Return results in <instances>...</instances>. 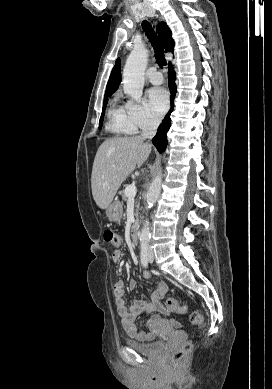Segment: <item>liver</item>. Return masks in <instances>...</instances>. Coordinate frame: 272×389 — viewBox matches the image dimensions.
I'll return each mask as SVG.
<instances>
[{
	"label": "liver",
	"instance_id": "1",
	"mask_svg": "<svg viewBox=\"0 0 272 389\" xmlns=\"http://www.w3.org/2000/svg\"><path fill=\"white\" fill-rule=\"evenodd\" d=\"M151 149L141 136L111 138L100 145L91 175L92 195L99 208L107 209L122 182L143 165Z\"/></svg>",
	"mask_w": 272,
	"mask_h": 389
}]
</instances>
